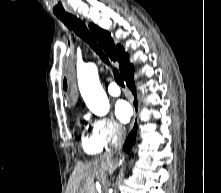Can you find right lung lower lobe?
I'll return each instance as SVG.
<instances>
[{
    "label": "right lung lower lobe",
    "mask_w": 221,
    "mask_h": 193,
    "mask_svg": "<svg viewBox=\"0 0 221 193\" xmlns=\"http://www.w3.org/2000/svg\"><path fill=\"white\" fill-rule=\"evenodd\" d=\"M133 72H134V68H132L130 71H128L123 76V79L125 80L127 86L129 87V89L132 91V93L135 96L136 90H135V85H134V80H133ZM134 105L137 108V100L136 99L134 101ZM136 128H137V124L135 123L133 130L130 132V134H129L128 138L126 139V142L123 146V149L126 152H129L135 143V138H136V134H137Z\"/></svg>",
    "instance_id": "obj_1"
}]
</instances>
